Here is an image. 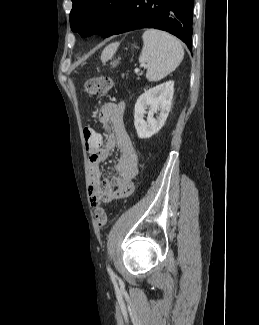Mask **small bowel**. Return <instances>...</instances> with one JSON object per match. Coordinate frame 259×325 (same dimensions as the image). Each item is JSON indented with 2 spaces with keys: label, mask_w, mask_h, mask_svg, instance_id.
Wrapping results in <instances>:
<instances>
[{
  "label": "small bowel",
  "mask_w": 259,
  "mask_h": 325,
  "mask_svg": "<svg viewBox=\"0 0 259 325\" xmlns=\"http://www.w3.org/2000/svg\"><path fill=\"white\" fill-rule=\"evenodd\" d=\"M125 105L123 102H107L99 111V121L107 132V141L101 134V148L87 149L89 155L90 178L88 194L93 206L101 202L109 203L115 199L130 196L135 189L134 179L138 175V155L125 126ZM117 148L116 173L102 178L100 164Z\"/></svg>",
  "instance_id": "small-bowel-1"
}]
</instances>
